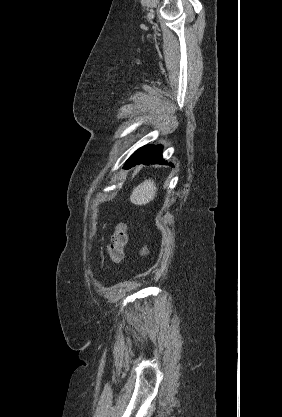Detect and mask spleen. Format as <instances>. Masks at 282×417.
I'll return each mask as SVG.
<instances>
[{
  "label": "spleen",
  "mask_w": 282,
  "mask_h": 417,
  "mask_svg": "<svg viewBox=\"0 0 282 417\" xmlns=\"http://www.w3.org/2000/svg\"><path fill=\"white\" fill-rule=\"evenodd\" d=\"M157 194V186L152 180V178H147L141 184H138L136 188H134L130 200L134 202V204H147L150 200H153L154 196Z\"/></svg>",
  "instance_id": "obj_1"
}]
</instances>
